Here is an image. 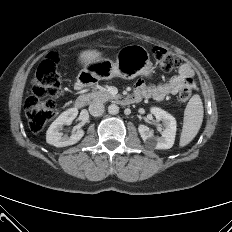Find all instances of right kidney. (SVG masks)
Wrapping results in <instances>:
<instances>
[{
  "label": "right kidney",
  "instance_id": "ca27d5eb",
  "mask_svg": "<svg viewBox=\"0 0 232 232\" xmlns=\"http://www.w3.org/2000/svg\"><path fill=\"white\" fill-rule=\"evenodd\" d=\"M77 115L78 110L76 108H70L61 113L47 130V143L56 147H66L76 144L84 136V131L82 129H77L71 136L63 135L60 131L63 125H70Z\"/></svg>",
  "mask_w": 232,
  "mask_h": 232
}]
</instances>
